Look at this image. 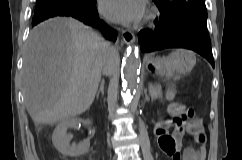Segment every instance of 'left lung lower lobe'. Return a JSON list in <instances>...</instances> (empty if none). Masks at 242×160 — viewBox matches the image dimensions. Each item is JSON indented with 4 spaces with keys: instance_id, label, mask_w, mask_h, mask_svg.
Listing matches in <instances>:
<instances>
[{
    "instance_id": "0a47b994",
    "label": "left lung lower lobe",
    "mask_w": 242,
    "mask_h": 160,
    "mask_svg": "<svg viewBox=\"0 0 242 160\" xmlns=\"http://www.w3.org/2000/svg\"><path fill=\"white\" fill-rule=\"evenodd\" d=\"M207 20L172 21L162 15L155 20L153 29L139 32L141 50L151 52L164 48H186L206 58L214 67Z\"/></svg>"
}]
</instances>
